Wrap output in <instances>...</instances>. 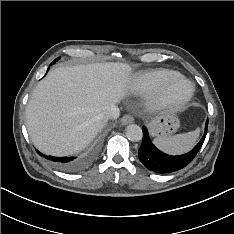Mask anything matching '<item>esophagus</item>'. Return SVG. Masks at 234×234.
Returning <instances> with one entry per match:
<instances>
[{
  "instance_id": "esophagus-1",
  "label": "esophagus",
  "mask_w": 234,
  "mask_h": 234,
  "mask_svg": "<svg viewBox=\"0 0 234 234\" xmlns=\"http://www.w3.org/2000/svg\"><path fill=\"white\" fill-rule=\"evenodd\" d=\"M121 124L122 125H127V124H130V123H133L134 122V118L129 115V114H125L121 120H120Z\"/></svg>"
}]
</instances>
